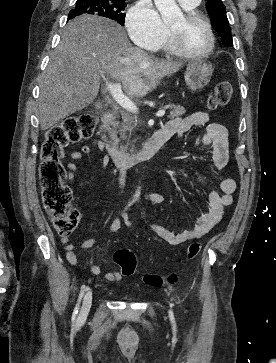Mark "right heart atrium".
I'll use <instances>...</instances> for the list:
<instances>
[{"label":"right heart atrium","mask_w":276,"mask_h":363,"mask_svg":"<svg viewBox=\"0 0 276 363\" xmlns=\"http://www.w3.org/2000/svg\"><path fill=\"white\" fill-rule=\"evenodd\" d=\"M126 25L133 41L148 50L159 49L168 37V28L150 0H139L130 8Z\"/></svg>","instance_id":"1"}]
</instances>
